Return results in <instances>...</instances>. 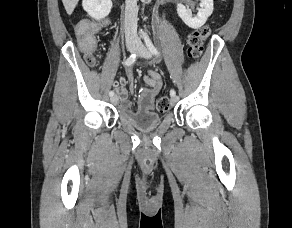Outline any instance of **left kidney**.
I'll use <instances>...</instances> for the list:
<instances>
[{
    "instance_id": "5707ae66",
    "label": "left kidney",
    "mask_w": 292,
    "mask_h": 228,
    "mask_svg": "<svg viewBox=\"0 0 292 228\" xmlns=\"http://www.w3.org/2000/svg\"><path fill=\"white\" fill-rule=\"evenodd\" d=\"M200 8L196 16L190 13L182 3L177 4V13L182 21L192 29H198L205 24L213 12V0H200Z\"/></svg>"
}]
</instances>
